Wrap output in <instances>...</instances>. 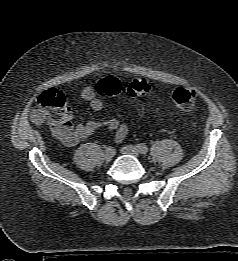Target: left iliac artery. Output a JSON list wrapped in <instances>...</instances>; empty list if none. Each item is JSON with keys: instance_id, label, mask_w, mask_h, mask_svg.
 Instances as JSON below:
<instances>
[{"instance_id": "obj_1", "label": "left iliac artery", "mask_w": 238, "mask_h": 261, "mask_svg": "<svg viewBox=\"0 0 238 261\" xmlns=\"http://www.w3.org/2000/svg\"><path fill=\"white\" fill-rule=\"evenodd\" d=\"M136 148L141 154H146L148 152V147L144 144H137Z\"/></svg>"}]
</instances>
